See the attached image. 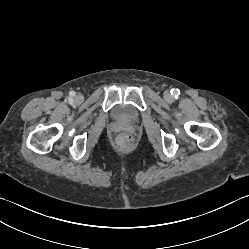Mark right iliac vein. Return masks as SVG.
<instances>
[{
    "instance_id": "right-iliac-vein-1",
    "label": "right iliac vein",
    "mask_w": 249,
    "mask_h": 249,
    "mask_svg": "<svg viewBox=\"0 0 249 249\" xmlns=\"http://www.w3.org/2000/svg\"><path fill=\"white\" fill-rule=\"evenodd\" d=\"M75 100H76V102H81L82 98H81V96H77V97L75 98Z\"/></svg>"
}]
</instances>
